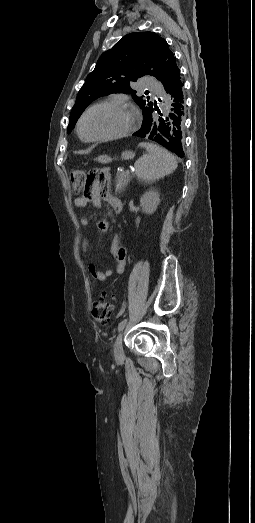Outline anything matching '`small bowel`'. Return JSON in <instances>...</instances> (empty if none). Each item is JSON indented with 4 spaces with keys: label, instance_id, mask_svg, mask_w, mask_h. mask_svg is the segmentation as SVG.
Instances as JSON below:
<instances>
[{
    "label": "small bowel",
    "instance_id": "obj_1",
    "mask_svg": "<svg viewBox=\"0 0 255 523\" xmlns=\"http://www.w3.org/2000/svg\"><path fill=\"white\" fill-rule=\"evenodd\" d=\"M90 180L94 181V175L90 174ZM101 198H104L112 207L115 200L118 198L110 195L106 190H101V192L91 189L85 194L84 197H78L75 199V205L78 208H85L88 202L93 203L94 205L100 204ZM120 201V200H119ZM121 202V201H120ZM122 204V202H121ZM81 226L86 230L89 227V221L86 217L80 219ZM96 227L101 232H106L109 229V222L104 219H100L96 222ZM81 248L83 253H87L89 249L88 237L85 233L81 236ZM111 253L115 258V271L117 274H122L125 269L126 263V248L121 244L117 239L113 241L111 246ZM89 273L95 281L104 282L112 274V270L101 271L94 264L88 266Z\"/></svg>",
    "mask_w": 255,
    "mask_h": 523
}]
</instances>
